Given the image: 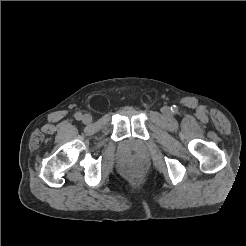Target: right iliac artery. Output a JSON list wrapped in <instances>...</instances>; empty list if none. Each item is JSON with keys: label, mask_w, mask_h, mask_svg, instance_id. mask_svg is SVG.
Wrapping results in <instances>:
<instances>
[{"label": "right iliac artery", "mask_w": 246, "mask_h": 246, "mask_svg": "<svg viewBox=\"0 0 246 246\" xmlns=\"http://www.w3.org/2000/svg\"><path fill=\"white\" fill-rule=\"evenodd\" d=\"M75 118H76L77 120H81V119H82V114H81V113H76V114H75Z\"/></svg>", "instance_id": "82829eb1"}]
</instances>
